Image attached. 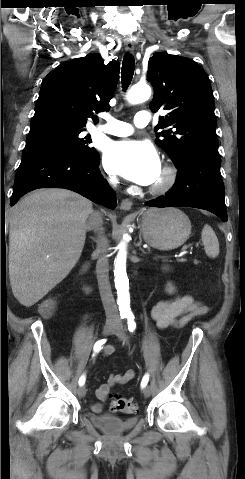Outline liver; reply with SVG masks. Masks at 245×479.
Returning a JSON list of instances; mask_svg holds the SVG:
<instances>
[{"instance_id": "obj_1", "label": "liver", "mask_w": 245, "mask_h": 479, "mask_svg": "<svg viewBox=\"0 0 245 479\" xmlns=\"http://www.w3.org/2000/svg\"><path fill=\"white\" fill-rule=\"evenodd\" d=\"M92 202L66 189H38L11 210L9 276L20 304L30 307L78 262Z\"/></svg>"}]
</instances>
